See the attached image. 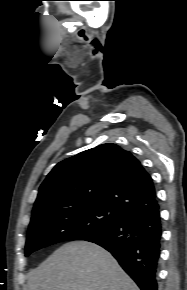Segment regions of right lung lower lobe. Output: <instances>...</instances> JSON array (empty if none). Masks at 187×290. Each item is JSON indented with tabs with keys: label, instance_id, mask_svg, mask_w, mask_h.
<instances>
[{
	"label": "right lung lower lobe",
	"instance_id": "obj_1",
	"mask_svg": "<svg viewBox=\"0 0 187 290\" xmlns=\"http://www.w3.org/2000/svg\"><path fill=\"white\" fill-rule=\"evenodd\" d=\"M112 253L141 290H157L162 241L160 209L124 215L115 226L86 238Z\"/></svg>",
	"mask_w": 187,
	"mask_h": 290
}]
</instances>
